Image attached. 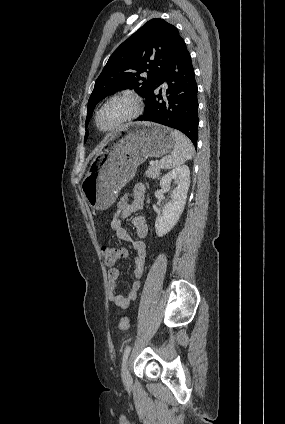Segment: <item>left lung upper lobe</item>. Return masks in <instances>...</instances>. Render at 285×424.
Masks as SVG:
<instances>
[{
    "instance_id": "5c2ea615",
    "label": "left lung upper lobe",
    "mask_w": 285,
    "mask_h": 424,
    "mask_svg": "<svg viewBox=\"0 0 285 424\" xmlns=\"http://www.w3.org/2000/svg\"><path fill=\"white\" fill-rule=\"evenodd\" d=\"M180 38L175 26L155 18L124 41L110 56L95 82L88 100L85 126L95 106L112 93L134 89L147 98L160 81ZM87 136L86 130L84 142Z\"/></svg>"
}]
</instances>
